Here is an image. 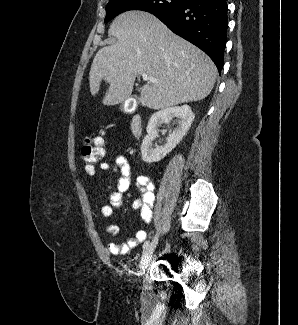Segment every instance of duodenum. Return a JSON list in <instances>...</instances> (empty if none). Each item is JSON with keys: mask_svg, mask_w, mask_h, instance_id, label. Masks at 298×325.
Segmentation results:
<instances>
[{"mask_svg": "<svg viewBox=\"0 0 298 325\" xmlns=\"http://www.w3.org/2000/svg\"><path fill=\"white\" fill-rule=\"evenodd\" d=\"M130 130L135 138H139L142 134V118L140 115H135L130 121Z\"/></svg>", "mask_w": 298, "mask_h": 325, "instance_id": "410a0bca", "label": "duodenum"}]
</instances>
